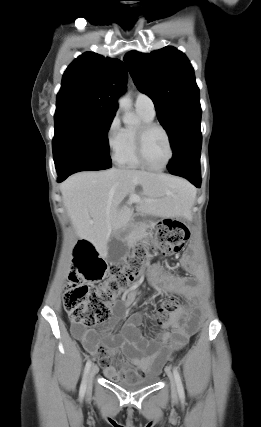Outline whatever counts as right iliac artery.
I'll use <instances>...</instances> for the list:
<instances>
[{"instance_id": "obj_1", "label": "right iliac artery", "mask_w": 261, "mask_h": 427, "mask_svg": "<svg viewBox=\"0 0 261 427\" xmlns=\"http://www.w3.org/2000/svg\"><path fill=\"white\" fill-rule=\"evenodd\" d=\"M92 365L91 360H88L86 362V366H85V371H84V377L80 386V396L83 397L86 391V381H87V376L90 370V367Z\"/></svg>"}]
</instances>
